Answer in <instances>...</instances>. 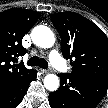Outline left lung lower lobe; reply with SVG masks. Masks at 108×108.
I'll return each instance as SVG.
<instances>
[{"label": "left lung lower lobe", "mask_w": 108, "mask_h": 108, "mask_svg": "<svg viewBox=\"0 0 108 108\" xmlns=\"http://www.w3.org/2000/svg\"><path fill=\"white\" fill-rule=\"evenodd\" d=\"M61 85L49 95L51 108H94L108 89V80L59 74Z\"/></svg>", "instance_id": "left-lung-lower-lobe-1"}]
</instances>
